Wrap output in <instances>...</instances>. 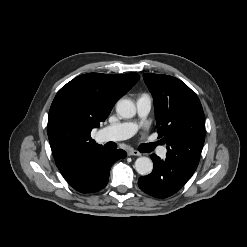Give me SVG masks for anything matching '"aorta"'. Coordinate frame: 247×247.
<instances>
[{"label":"aorta","mask_w":247,"mask_h":247,"mask_svg":"<svg viewBox=\"0 0 247 247\" xmlns=\"http://www.w3.org/2000/svg\"><path fill=\"white\" fill-rule=\"evenodd\" d=\"M116 112L122 118H132L136 114V106L131 100L121 99L116 105ZM134 168L137 173L148 175L153 170L152 160L148 157H139L135 161Z\"/></svg>","instance_id":"aorta-1"}]
</instances>
